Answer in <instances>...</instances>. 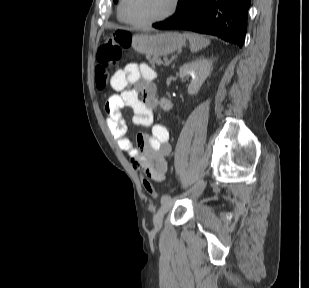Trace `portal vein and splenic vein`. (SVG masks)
<instances>
[{
  "mask_svg": "<svg viewBox=\"0 0 309 288\" xmlns=\"http://www.w3.org/2000/svg\"><path fill=\"white\" fill-rule=\"evenodd\" d=\"M163 60H164L165 64H167L168 58L164 57Z\"/></svg>",
  "mask_w": 309,
  "mask_h": 288,
  "instance_id": "18ae733b",
  "label": "portal vein and splenic vein"
}]
</instances>
